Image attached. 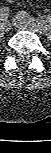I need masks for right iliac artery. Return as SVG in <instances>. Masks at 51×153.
<instances>
[{
    "label": "right iliac artery",
    "instance_id": "obj_1",
    "mask_svg": "<svg viewBox=\"0 0 51 153\" xmlns=\"http://www.w3.org/2000/svg\"><path fill=\"white\" fill-rule=\"evenodd\" d=\"M8 15H9V8L2 7L0 9V20L5 21L8 18Z\"/></svg>",
    "mask_w": 51,
    "mask_h": 153
}]
</instances>
